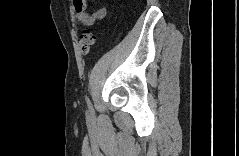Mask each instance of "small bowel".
<instances>
[{
	"mask_svg": "<svg viewBox=\"0 0 239 156\" xmlns=\"http://www.w3.org/2000/svg\"><path fill=\"white\" fill-rule=\"evenodd\" d=\"M74 7L76 11V19L84 26H94L97 21L107 16V7L99 6L93 12L88 10L87 0H74Z\"/></svg>",
	"mask_w": 239,
	"mask_h": 156,
	"instance_id": "c3829d8e",
	"label": "small bowel"
}]
</instances>
